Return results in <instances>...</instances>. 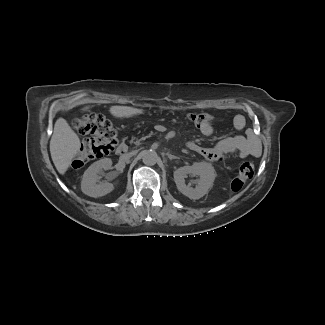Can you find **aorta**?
Listing matches in <instances>:
<instances>
[{
    "label": "aorta",
    "instance_id": "obj_1",
    "mask_svg": "<svg viewBox=\"0 0 325 325\" xmlns=\"http://www.w3.org/2000/svg\"><path fill=\"white\" fill-rule=\"evenodd\" d=\"M142 161L145 165L153 166L158 161V155L154 150H144L141 153Z\"/></svg>",
    "mask_w": 325,
    "mask_h": 325
}]
</instances>
